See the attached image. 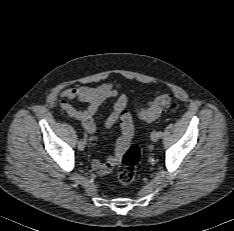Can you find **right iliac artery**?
Wrapping results in <instances>:
<instances>
[{
	"mask_svg": "<svg viewBox=\"0 0 234 231\" xmlns=\"http://www.w3.org/2000/svg\"><path fill=\"white\" fill-rule=\"evenodd\" d=\"M84 142H86V140H87V135L86 134H84Z\"/></svg>",
	"mask_w": 234,
	"mask_h": 231,
	"instance_id": "obj_1",
	"label": "right iliac artery"
}]
</instances>
